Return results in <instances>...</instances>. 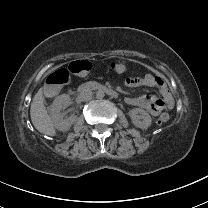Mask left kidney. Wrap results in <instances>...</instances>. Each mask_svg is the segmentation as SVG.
I'll use <instances>...</instances> for the list:
<instances>
[{
  "mask_svg": "<svg viewBox=\"0 0 208 208\" xmlns=\"http://www.w3.org/2000/svg\"><path fill=\"white\" fill-rule=\"evenodd\" d=\"M129 117L131 119L132 124L136 128L140 129H148L152 124V119L150 114L142 109V108H133L129 111ZM138 119H143L142 121Z\"/></svg>",
  "mask_w": 208,
  "mask_h": 208,
  "instance_id": "1",
  "label": "left kidney"
}]
</instances>
